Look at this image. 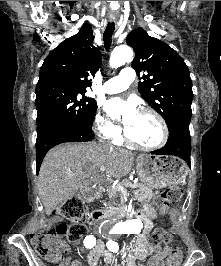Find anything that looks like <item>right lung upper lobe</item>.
I'll use <instances>...</instances> for the list:
<instances>
[{
	"label": "right lung upper lobe",
	"instance_id": "1",
	"mask_svg": "<svg viewBox=\"0 0 221 266\" xmlns=\"http://www.w3.org/2000/svg\"><path fill=\"white\" fill-rule=\"evenodd\" d=\"M93 32L85 24L79 32L64 40L45 58L36 89L69 88L86 91L89 76L101 66V53L93 46Z\"/></svg>",
	"mask_w": 221,
	"mask_h": 266
}]
</instances>
